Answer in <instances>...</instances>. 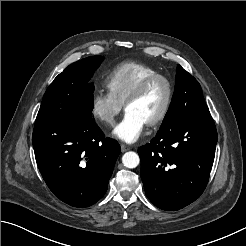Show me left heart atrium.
Returning <instances> with one entry per match:
<instances>
[{
  "mask_svg": "<svg viewBox=\"0 0 246 246\" xmlns=\"http://www.w3.org/2000/svg\"><path fill=\"white\" fill-rule=\"evenodd\" d=\"M146 122L136 113L126 111L123 119L115 127L113 135L127 143H133L142 135Z\"/></svg>",
  "mask_w": 246,
  "mask_h": 246,
  "instance_id": "1",
  "label": "left heart atrium"
}]
</instances>
